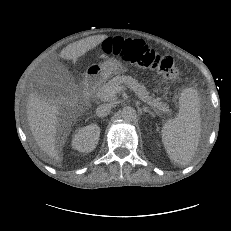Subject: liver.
Here are the masks:
<instances>
[{"label": "liver", "instance_id": "obj_1", "mask_svg": "<svg viewBox=\"0 0 231 231\" xmlns=\"http://www.w3.org/2000/svg\"><path fill=\"white\" fill-rule=\"evenodd\" d=\"M108 36L95 35L76 41L66 46L60 57L76 62L79 57L94 49ZM59 101V100H58ZM55 100H44L36 93H31L27 102V119L31 133L43 153L55 162H61L56 147V133L59 126L60 104Z\"/></svg>", "mask_w": 231, "mask_h": 231}]
</instances>
